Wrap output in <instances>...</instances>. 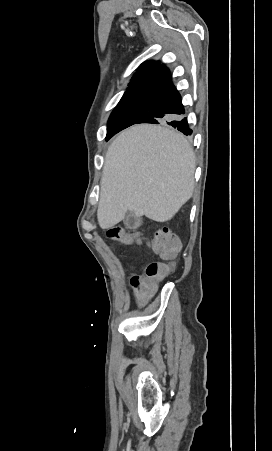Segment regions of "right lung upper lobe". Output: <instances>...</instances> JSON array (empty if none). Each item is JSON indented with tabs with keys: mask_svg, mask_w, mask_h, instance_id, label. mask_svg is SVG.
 Instances as JSON below:
<instances>
[{
	"mask_svg": "<svg viewBox=\"0 0 272 451\" xmlns=\"http://www.w3.org/2000/svg\"><path fill=\"white\" fill-rule=\"evenodd\" d=\"M171 83L169 70L159 62L143 63L131 79L121 101L137 98H153Z\"/></svg>",
	"mask_w": 272,
	"mask_h": 451,
	"instance_id": "obj_1",
	"label": "right lung upper lobe"
}]
</instances>
